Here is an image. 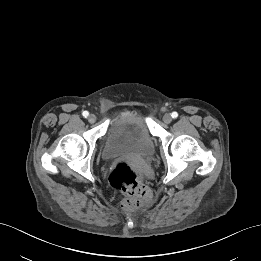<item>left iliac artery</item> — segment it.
<instances>
[{"mask_svg":"<svg viewBox=\"0 0 261 261\" xmlns=\"http://www.w3.org/2000/svg\"><path fill=\"white\" fill-rule=\"evenodd\" d=\"M171 116H172V118H177L178 117V113L177 112H172Z\"/></svg>","mask_w":261,"mask_h":261,"instance_id":"44dca946","label":"left iliac artery"}]
</instances>
